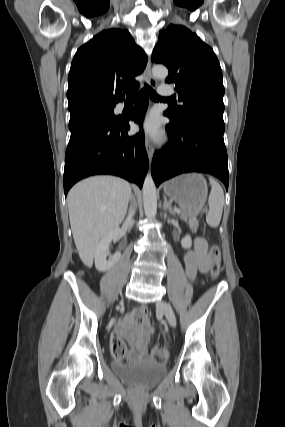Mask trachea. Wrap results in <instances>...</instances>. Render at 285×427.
Here are the masks:
<instances>
[{
    "label": "trachea",
    "instance_id": "1",
    "mask_svg": "<svg viewBox=\"0 0 285 427\" xmlns=\"http://www.w3.org/2000/svg\"><path fill=\"white\" fill-rule=\"evenodd\" d=\"M146 91L152 100H163L167 98L160 97L149 85L145 84ZM127 100H135L137 98V89H125Z\"/></svg>",
    "mask_w": 285,
    "mask_h": 427
}]
</instances>
